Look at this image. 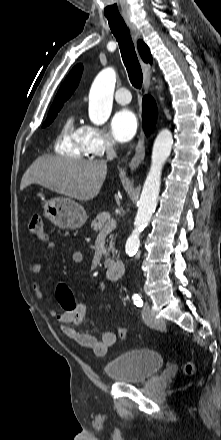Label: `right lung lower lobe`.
<instances>
[{"instance_id": "98d812e1", "label": "right lung lower lobe", "mask_w": 221, "mask_h": 440, "mask_svg": "<svg viewBox=\"0 0 221 440\" xmlns=\"http://www.w3.org/2000/svg\"><path fill=\"white\" fill-rule=\"evenodd\" d=\"M142 118L145 132L148 134L153 128L157 118V107L150 96H145L142 103Z\"/></svg>"}]
</instances>
